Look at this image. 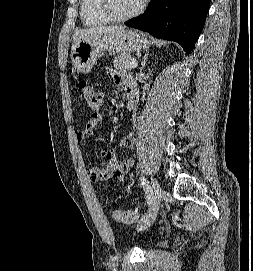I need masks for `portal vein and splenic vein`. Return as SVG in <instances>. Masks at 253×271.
<instances>
[{
  "label": "portal vein and splenic vein",
  "mask_w": 253,
  "mask_h": 271,
  "mask_svg": "<svg viewBox=\"0 0 253 271\" xmlns=\"http://www.w3.org/2000/svg\"><path fill=\"white\" fill-rule=\"evenodd\" d=\"M137 66H138V62H136V61H133V62L129 65L130 68H135V67H137Z\"/></svg>",
  "instance_id": "1"
}]
</instances>
